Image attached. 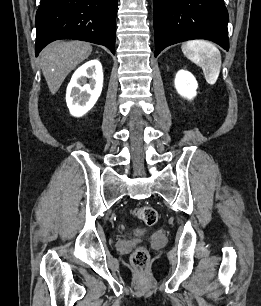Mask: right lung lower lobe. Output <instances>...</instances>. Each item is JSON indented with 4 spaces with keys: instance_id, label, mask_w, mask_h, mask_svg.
<instances>
[{
    "instance_id": "98d812e1",
    "label": "right lung lower lobe",
    "mask_w": 261,
    "mask_h": 306,
    "mask_svg": "<svg viewBox=\"0 0 261 306\" xmlns=\"http://www.w3.org/2000/svg\"><path fill=\"white\" fill-rule=\"evenodd\" d=\"M117 0H41L36 13L35 54L59 39L104 45L115 53Z\"/></svg>"
}]
</instances>
